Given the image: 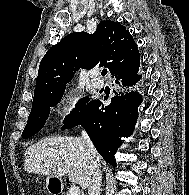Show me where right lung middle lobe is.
<instances>
[{"label": "right lung middle lobe", "mask_w": 189, "mask_h": 195, "mask_svg": "<svg viewBox=\"0 0 189 195\" xmlns=\"http://www.w3.org/2000/svg\"><path fill=\"white\" fill-rule=\"evenodd\" d=\"M63 93L64 91L33 103L28 122L22 132V138H29L43 128V125L49 116L50 108L54 107L61 100ZM89 100L88 97H84L80 100V102L76 104L75 109L65 117L64 123L84 107Z\"/></svg>", "instance_id": "dd1d6c3e"}]
</instances>
